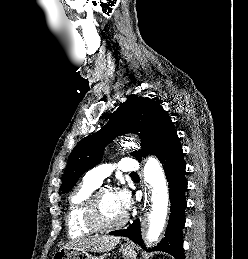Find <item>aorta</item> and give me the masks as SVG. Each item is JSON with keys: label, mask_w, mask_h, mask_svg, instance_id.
Wrapping results in <instances>:
<instances>
[{"label": "aorta", "mask_w": 248, "mask_h": 259, "mask_svg": "<svg viewBox=\"0 0 248 259\" xmlns=\"http://www.w3.org/2000/svg\"><path fill=\"white\" fill-rule=\"evenodd\" d=\"M127 148H137L134 142L125 141L121 144ZM149 184L152 186L151 195L146 192L144 208L148 211V226L143 227L146 233L147 245H151L159 239L166 223L169 191L163 169L157 159L151 158L148 163Z\"/></svg>", "instance_id": "1"}]
</instances>
